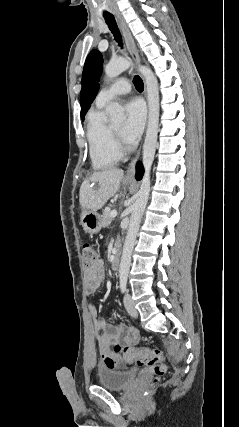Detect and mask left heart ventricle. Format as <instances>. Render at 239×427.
<instances>
[{"instance_id": "1", "label": "left heart ventricle", "mask_w": 239, "mask_h": 427, "mask_svg": "<svg viewBox=\"0 0 239 427\" xmlns=\"http://www.w3.org/2000/svg\"><path fill=\"white\" fill-rule=\"evenodd\" d=\"M114 129H115L118 133H120V132H121V125H120V124L115 125V126H114Z\"/></svg>"}]
</instances>
